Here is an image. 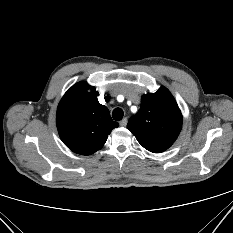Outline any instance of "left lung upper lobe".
Here are the masks:
<instances>
[{"instance_id": "1", "label": "left lung upper lobe", "mask_w": 233, "mask_h": 233, "mask_svg": "<svg viewBox=\"0 0 233 233\" xmlns=\"http://www.w3.org/2000/svg\"><path fill=\"white\" fill-rule=\"evenodd\" d=\"M127 128L145 149L161 153L178 137L182 114L169 90L161 86L142 96L140 110L129 119Z\"/></svg>"}]
</instances>
